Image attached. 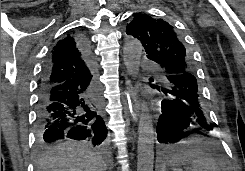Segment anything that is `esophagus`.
Segmentation results:
<instances>
[{"label": "esophagus", "instance_id": "34e87169", "mask_svg": "<svg viewBox=\"0 0 245 171\" xmlns=\"http://www.w3.org/2000/svg\"><path fill=\"white\" fill-rule=\"evenodd\" d=\"M125 104L131 120L137 122L139 118V103L134 88L128 81L125 89Z\"/></svg>", "mask_w": 245, "mask_h": 171}]
</instances>
